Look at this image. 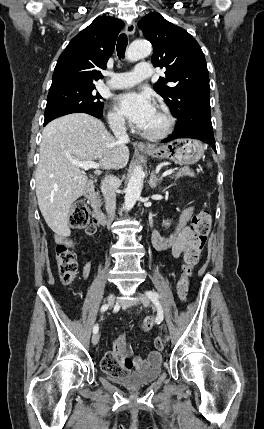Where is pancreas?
Listing matches in <instances>:
<instances>
[{
	"instance_id": "cf45deb5",
	"label": "pancreas",
	"mask_w": 264,
	"mask_h": 429,
	"mask_svg": "<svg viewBox=\"0 0 264 429\" xmlns=\"http://www.w3.org/2000/svg\"><path fill=\"white\" fill-rule=\"evenodd\" d=\"M183 176H190V177H194L195 176V173H194V171L193 170H191L188 166H185V167H183V168H181L173 177H171V178H173V179H175V180H177V179H179L180 177H183Z\"/></svg>"
}]
</instances>
